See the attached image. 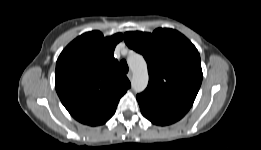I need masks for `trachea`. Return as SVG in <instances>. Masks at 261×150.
Masks as SVG:
<instances>
[{
  "mask_svg": "<svg viewBox=\"0 0 261 150\" xmlns=\"http://www.w3.org/2000/svg\"><path fill=\"white\" fill-rule=\"evenodd\" d=\"M120 69L122 72L124 73H127L129 71V68H128V65H127V62L125 60H122L120 62Z\"/></svg>",
  "mask_w": 261,
  "mask_h": 150,
  "instance_id": "trachea-1",
  "label": "trachea"
}]
</instances>
